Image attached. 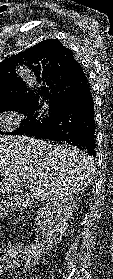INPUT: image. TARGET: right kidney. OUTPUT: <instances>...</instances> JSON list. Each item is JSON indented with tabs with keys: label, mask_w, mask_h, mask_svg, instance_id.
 I'll use <instances>...</instances> for the list:
<instances>
[{
	"label": "right kidney",
	"mask_w": 113,
	"mask_h": 279,
	"mask_svg": "<svg viewBox=\"0 0 113 279\" xmlns=\"http://www.w3.org/2000/svg\"><path fill=\"white\" fill-rule=\"evenodd\" d=\"M75 207L74 197L67 196L58 201L48 202L40 208L36 220L47 248L61 241Z\"/></svg>",
	"instance_id": "obj_1"
}]
</instances>
